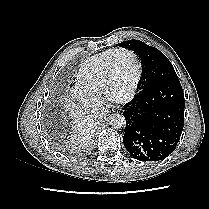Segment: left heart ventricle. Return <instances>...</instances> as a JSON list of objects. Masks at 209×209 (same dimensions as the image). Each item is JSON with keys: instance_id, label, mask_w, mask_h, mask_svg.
Returning <instances> with one entry per match:
<instances>
[{"instance_id": "left-heart-ventricle-1", "label": "left heart ventricle", "mask_w": 209, "mask_h": 209, "mask_svg": "<svg viewBox=\"0 0 209 209\" xmlns=\"http://www.w3.org/2000/svg\"><path fill=\"white\" fill-rule=\"evenodd\" d=\"M136 66L132 57L128 54H119L114 58L109 95L112 98L126 96L135 81Z\"/></svg>"}]
</instances>
